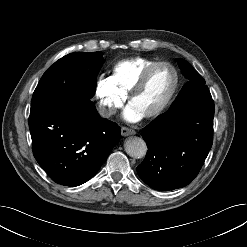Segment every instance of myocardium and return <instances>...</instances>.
Segmentation results:
<instances>
[{
	"label": "myocardium",
	"mask_w": 247,
	"mask_h": 247,
	"mask_svg": "<svg viewBox=\"0 0 247 247\" xmlns=\"http://www.w3.org/2000/svg\"><path fill=\"white\" fill-rule=\"evenodd\" d=\"M159 66H168L169 68H171V70L173 71V74H174L173 86H172V89H171L170 93L168 94L167 98L165 99V101L156 110H154L153 112L144 116L145 119H154V118L159 117L161 114H163L166 111V109L170 106L172 101L174 100V98L178 92V89H179L180 75H179L177 68L173 64H171L170 62L156 61V62L152 63L151 65H149L148 67H146L142 71V73L138 77L137 81L135 82V84L133 85L131 90L129 91V93L127 95L128 105H130L131 101L142 91V89L145 86V84L148 80V77L150 76L152 71Z\"/></svg>",
	"instance_id": "obj_1"
}]
</instances>
